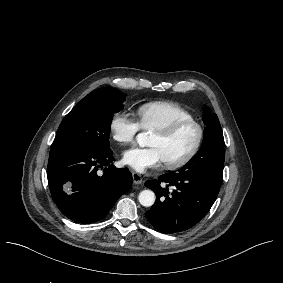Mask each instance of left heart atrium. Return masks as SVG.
<instances>
[{
  "mask_svg": "<svg viewBox=\"0 0 283 283\" xmlns=\"http://www.w3.org/2000/svg\"><path fill=\"white\" fill-rule=\"evenodd\" d=\"M123 160L139 172L158 168L165 163L162 152L157 147L127 149L123 154Z\"/></svg>",
  "mask_w": 283,
  "mask_h": 283,
  "instance_id": "39dd6f15",
  "label": "left heart atrium"
}]
</instances>
